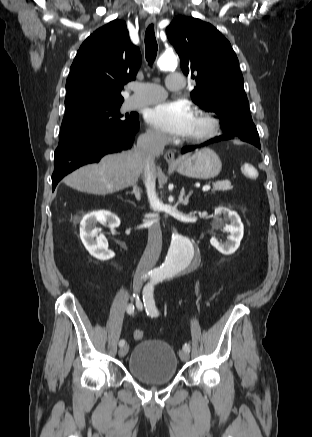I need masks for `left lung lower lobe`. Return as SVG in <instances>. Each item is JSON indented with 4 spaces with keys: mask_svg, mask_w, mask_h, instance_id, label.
<instances>
[{
    "mask_svg": "<svg viewBox=\"0 0 312 437\" xmlns=\"http://www.w3.org/2000/svg\"><path fill=\"white\" fill-rule=\"evenodd\" d=\"M228 139H232V138L227 136V135H222V136L216 137L214 139H211V140H209V141H207V142H205V143H203V144H201L199 146L184 147L182 149V153H186V152L192 151L195 148L202 147V146L208 145L210 143H214V142H218V141H223V140H228ZM252 144L260 149V142L259 143H252Z\"/></svg>",
    "mask_w": 312,
    "mask_h": 437,
    "instance_id": "obj_1",
    "label": "left lung lower lobe"
}]
</instances>
